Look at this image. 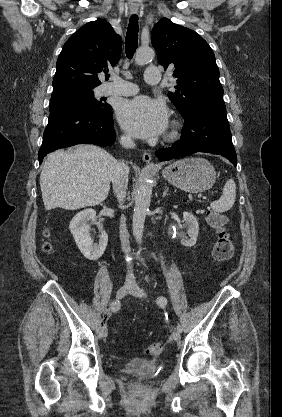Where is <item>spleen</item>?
<instances>
[{
	"mask_svg": "<svg viewBox=\"0 0 282 417\" xmlns=\"http://www.w3.org/2000/svg\"><path fill=\"white\" fill-rule=\"evenodd\" d=\"M236 198V184L233 178H228L224 184L222 196L219 200H213L211 202V209L216 211V213H226L230 211L231 206H233Z\"/></svg>",
	"mask_w": 282,
	"mask_h": 417,
	"instance_id": "obj_1",
	"label": "spleen"
}]
</instances>
